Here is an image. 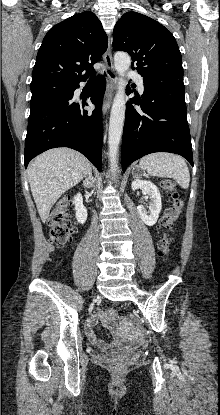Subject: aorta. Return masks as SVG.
<instances>
[{
	"instance_id": "obj_1",
	"label": "aorta",
	"mask_w": 220,
	"mask_h": 415,
	"mask_svg": "<svg viewBox=\"0 0 220 415\" xmlns=\"http://www.w3.org/2000/svg\"><path fill=\"white\" fill-rule=\"evenodd\" d=\"M130 65L131 58L127 53L117 52L114 55V67L119 77L117 79L118 89L111 109L108 134L109 160L111 172L114 176H116L118 171L117 156L125 119V89L127 84L125 72L129 69Z\"/></svg>"
}]
</instances>
